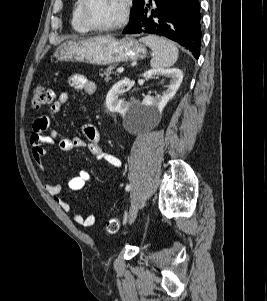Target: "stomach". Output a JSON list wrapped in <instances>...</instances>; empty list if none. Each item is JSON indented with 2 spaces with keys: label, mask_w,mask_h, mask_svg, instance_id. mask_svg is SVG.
Masks as SVG:
<instances>
[{
  "label": "stomach",
  "mask_w": 267,
  "mask_h": 301,
  "mask_svg": "<svg viewBox=\"0 0 267 301\" xmlns=\"http://www.w3.org/2000/svg\"><path fill=\"white\" fill-rule=\"evenodd\" d=\"M146 55V46L133 37L118 40L112 36L68 40L61 43L53 54L58 61L95 65L135 61L145 58Z\"/></svg>",
  "instance_id": "stomach-1"
}]
</instances>
